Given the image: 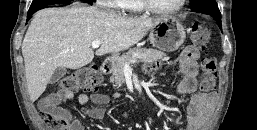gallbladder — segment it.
<instances>
[{
    "label": "gallbladder",
    "instance_id": "bac80fb5",
    "mask_svg": "<svg viewBox=\"0 0 257 130\" xmlns=\"http://www.w3.org/2000/svg\"><path fill=\"white\" fill-rule=\"evenodd\" d=\"M67 73L66 68H58L55 70V72L52 74L49 83L54 84L58 82L65 74Z\"/></svg>",
    "mask_w": 257,
    "mask_h": 130
}]
</instances>
